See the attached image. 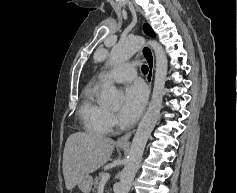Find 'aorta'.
<instances>
[{"label": "aorta", "instance_id": "762f6f07", "mask_svg": "<svg viewBox=\"0 0 237 193\" xmlns=\"http://www.w3.org/2000/svg\"><path fill=\"white\" fill-rule=\"evenodd\" d=\"M144 43L145 39L141 36H128L124 41L112 48L108 63L110 65H118L127 61L132 55L140 50ZM147 44L154 50L156 58L153 92L147 111L140 121L132 140L125 167L121 172L117 193H129L142 159L144 148L159 119L162 108L164 87L168 72V60L163 47L157 41L149 40L147 41ZM120 98L121 92L117 90L112 83H109L106 88L104 100L107 103H115Z\"/></svg>", "mask_w": 237, "mask_h": 193}]
</instances>
